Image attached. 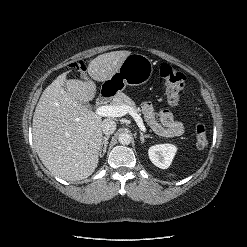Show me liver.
I'll return each mask as SVG.
<instances>
[{
  "mask_svg": "<svg viewBox=\"0 0 247 247\" xmlns=\"http://www.w3.org/2000/svg\"><path fill=\"white\" fill-rule=\"evenodd\" d=\"M130 51H113L94 58L89 76L104 82L116 73ZM58 76L42 93L33 116V141L44 166L67 181L89 177L96 169L102 143V118L79 101L95 97L93 81ZM65 87V88H64Z\"/></svg>",
  "mask_w": 247,
  "mask_h": 247,
  "instance_id": "1",
  "label": "liver"
}]
</instances>
